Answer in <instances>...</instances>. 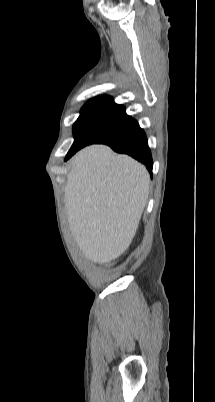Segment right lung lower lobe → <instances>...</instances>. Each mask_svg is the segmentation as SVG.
Segmentation results:
<instances>
[{"label":"right lung lower lobe","instance_id":"1","mask_svg":"<svg viewBox=\"0 0 215 402\" xmlns=\"http://www.w3.org/2000/svg\"><path fill=\"white\" fill-rule=\"evenodd\" d=\"M109 145L114 151L118 153H125L141 163L145 164L150 174L152 175L153 161L151 152L148 147V142L144 131L139 127L136 122L130 129H128L122 136L116 140L103 143ZM87 145L79 146L68 152L66 159L70 158L75 152Z\"/></svg>","mask_w":215,"mask_h":402}]
</instances>
